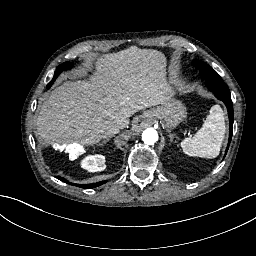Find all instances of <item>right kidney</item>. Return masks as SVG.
Listing matches in <instances>:
<instances>
[{
  "instance_id": "1",
  "label": "right kidney",
  "mask_w": 256,
  "mask_h": 256,
  "mask_svg": "<svg viewBox=\"0 0 256 256\" xmlns=\"http://www.w3.org/2000/svg\"><path fill=\"white\" fill-rule=\"evenodd\" d=\"M83 168L96 172L105 169V157L96 155L85 158L82 163Z\"/></svg>"
}]
</instances>
